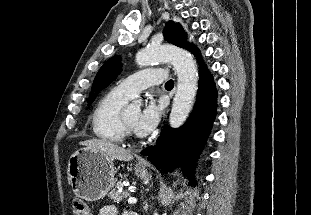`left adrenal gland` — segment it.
I'll use <instances>...</instances> for the list:
<instances>
[{"instance_id": "obj_1", "label": "left adrenal gland", "mask_w": 311, "mask_h": 215, "mask_svg": "<svg viewBox=\"0 0 311 215\" xmlns=\"http://www.w3.org/2000/svg\"><path fill=\"white\" fill-rule=\"evenodd\" d=\"M144 209L147 211V209H148V204L147 203L145 204Z\"/></svg>"}]
</instances>
